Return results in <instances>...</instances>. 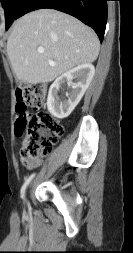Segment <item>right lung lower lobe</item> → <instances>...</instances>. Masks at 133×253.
<instances>
[{
    "label": "right lung lower lobe",
    "mask_w": 133,
    "mask_h": 253,
    "mask_svg": "<svg viewBox=\"0 0 133 253\" xmlns=\"http://www.w3.org/2000/svg\"><path fill=\"white\" fill-rule=\"evenodd\" d=\"M108 0H24L16 19L39 9L51 8L70 14L94 29L102 42L107 22Z\"/></svg>",
    "instance_id": "98d812e1"
}]
</instances>
